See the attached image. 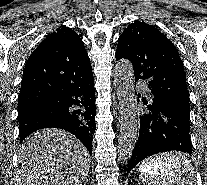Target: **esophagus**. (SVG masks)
I'll return each mask as SVG.
<instances>
[{
  "label": "esophagus",
  "mask_w": 207,
  "mask_h": 185,
  "mask_svg": "<svg viewBox=\"0 0 207 185\" xmlns=\"http://www.w3.org/2000/svg\"><path fill=\"white\" fill-rule=\"evenodd\" d=\"M110 110H111V111H115V110H116V107H115V106H111V107H110ZM117 123H118V124H121V123H122V120H121V119H118V120H117Z\"/></svg>",
  "instance_id": "1"
}]
</instances>
